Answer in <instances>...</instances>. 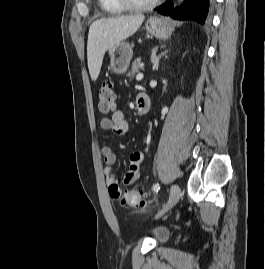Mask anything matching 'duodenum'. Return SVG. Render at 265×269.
I'll list each match as a JSON object with an SVG mask.
<instances>
[{
    "instance_id": "410a0bca",
    "label": "duodenum",
    "mask_w": 265,
    "mask_h": 269,
    "mask_svg": "<svg viewBox=\"0 0 265 269\" xmlns=\"http://www.w3.org/2000/svg\"><path fill=\"white\" fill-rule=\"evenodd\" d=\"M136 103L140 114H145L149 111L150 101L146 94H138Z\"/></svg>"
}]
</instances>
